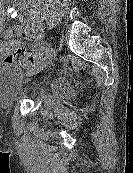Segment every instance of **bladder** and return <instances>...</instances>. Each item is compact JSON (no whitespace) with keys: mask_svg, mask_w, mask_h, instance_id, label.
<instances>
[{"mask_svg":"<svg viewBox=\"0 0 133 173\" xmlns=\"http://www.w3.org/2000/svg\"><path fill=\"white\" fill-rule=\"evenodd\" d=\"M55 89L65 92V86L57 83ZM27 92L22 69L18 66H9L0 69V103H11Z\"/></svg>","mask_w":133,"mask_h":173,"instance_id":"bladder-1","label":"bladder"}]
</instances>
